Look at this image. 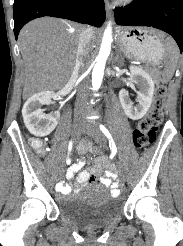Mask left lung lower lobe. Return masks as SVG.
Here are the masks:
<instances>
[{
    "mask_svg": "<svg viewBox=\"0 0 183 246\" xmlns=\"http://www.w3.org/2000/svg\"><path fill=\"white\" fill-rule=\"evenodd\" d=\"M118 25L148 26L169 33L183 51V0H133L115 8Z\"/></svg>",
    "mask_w": 183,
    "mask_h": 246,
    "instance_id": "obj_1",
    "label": "left lung lower lobe"
}]
</instances>
